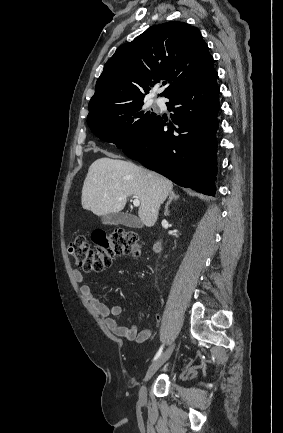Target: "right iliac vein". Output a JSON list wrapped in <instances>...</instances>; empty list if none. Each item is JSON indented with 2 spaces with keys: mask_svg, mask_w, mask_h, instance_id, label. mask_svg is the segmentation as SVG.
Masks as SVG:
<instances>
[{
  "mask_svg": "<svg viewBox=\"0 0 283 433\" xmlns=\"http://www.w3.org/2000/svg\"><path fill=\"white\" fill-rule=\"evenodd\" d=\"M174 348H175V342H173L166 349V351L159 358H157L148 368L146 375H145V378H144V383L141 386L140 392H139V400H140L141 404H145L147 402L146 383L152 378V376L155 374V372L169 359Z\"/></svg>",
  "mask_w": 283,
  "mask_h": 433,
  "instance_id": "63e3f726",
  "label": "right iliac vein"
}]
</instances>
